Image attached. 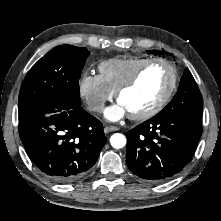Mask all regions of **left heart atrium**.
Instances as JSON below:
<instances>
[{
  "label": "left heart atrium",
  "mask_w": 221,
  "mask_h": 221,
  "mask_svg": "<svg viewBox=\"0 0 221 221\" xmlns=\"http://www.w3.org/2000/svg\"><path fill=\"white\" fill-rule=\"evenodd\" d=\"M125 107L119 103L109 107L105 111V117L110 121H117L127 114Z\"/></svg>",
  "instance_id": "left-heart-atrium-1"
}]
</instances>
